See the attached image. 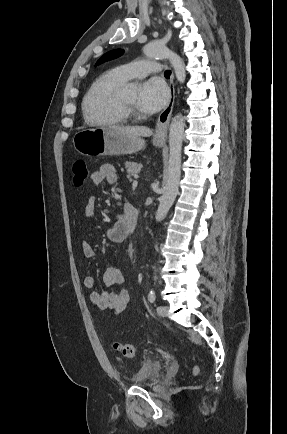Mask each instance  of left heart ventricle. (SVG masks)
<instances>
[{
    "mask_svg": "<svg viewBox=\"0 0 287 434\" xmlns=\"http://www.w3.org/2000/svg\"><path fill=\"white\" fill-rule=\"evenodd\" d=\"M136 91L135 90H124L122 91V97L124 98V100L131 106H133L134 108H137V103H136Z\"/></svg>",
    "mask_w": 287,
    "mask_h": 434,
    "instance_id": "1",
    "label": "left heart ventricle"
}]
</instances>
